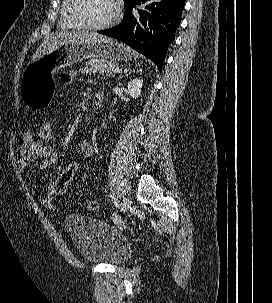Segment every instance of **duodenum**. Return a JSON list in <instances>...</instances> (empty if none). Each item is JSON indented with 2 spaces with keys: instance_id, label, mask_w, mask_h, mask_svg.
<instances>
[{
  "instance_id": "1",
  "label": "duodenum",
  "mask_w": 272,
  "mask_h": 303,
  "mask_svg": "<svg viewBox=\"0 0 272 303\" xmlns=\"http://www.w3.org/2000/svg\"><path fill=\"white\" fill-rule=\"evenodd\" d=\"M103 102H104V95H103V93H101V92L96 93L94 95V98H93V106L96 109H99V108L102 107Z\"/></svg>"
}]
</instances>
